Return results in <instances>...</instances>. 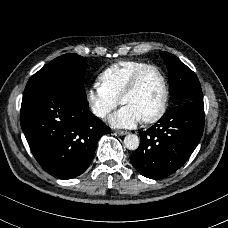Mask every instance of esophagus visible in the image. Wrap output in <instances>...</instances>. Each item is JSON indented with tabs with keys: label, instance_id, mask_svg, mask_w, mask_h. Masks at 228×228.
<instances>
[{
	"label": "esophagus",
	"instance_id": "obj_1",
	"mask_svg": "<svg viewBox=\"0 0 228 228\" xmlns=\"http://www.w3.org/2000/svg\"><path fill=\"white\" fill-rule=\"evenodd\" d=\"M115 132H116L119 136H124V135L128 134V132H127V131H124V130H116Z\"/></svg>",
	"mask_w": 228,
	"mask_h": 228
}]
</instances>
